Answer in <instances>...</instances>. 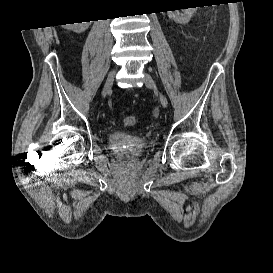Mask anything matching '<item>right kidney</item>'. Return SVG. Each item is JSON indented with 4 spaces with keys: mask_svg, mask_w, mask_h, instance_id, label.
<instances>
[{
    "mask_svg": "<svg viewBox=\"0 0 273 273\" xmlns=\"http://www.w3.org/2000/svg\"><path fill=\"white\" fill-rule=\"evenodd\" d=\"M91 21L90 22H82V23H79V26H74L72 27V29L75 31V32H83L85 31L89 25H90ZM75 25H78V23H75Z\"/></svg>",
    "mask_w": 273,
    "mask_h": 273,
    "instance_id": "right-kidney-1",
    "label": "right kidney"
}]
</instances>
